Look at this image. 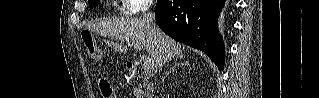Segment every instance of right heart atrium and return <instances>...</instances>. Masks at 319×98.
<instances>
[{
	"label": "right heart atrium",
	"instance_id": "right-heart-atrium-1",
	"mask_svg": "<svg viewBox=\"0 0 319 98\" xmlns=\"http://www.w3.org/2000/svg\"><path fill=\"white\" fill-rule=\"evenodd\" d=\"M125 6L123 8V12L126 14H136L137 12L144 10V8L148 5V1L141 0H125Z\"/></svg>",
	"mask_w": 319,
	"mask_h": 98
}]
</instances>
